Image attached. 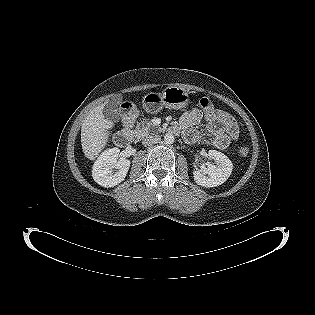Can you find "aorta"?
<instances>
[{"instance_id": "obj_1", "label": "aorta", "mask_w": 315, "mask_h": 315, "mask_svg": "<svg viewBox=\"0 0 315 315\" xmlns=\"http://www.w3.org/2000/svg\"><path fill=\"white\" fill-rule=\"evenodd\" d=\"M174 139H175L174 136L172 134H170V133H167L164 136V141H165L166 144L174 143Z\"/></svg>"}]
</instances>
